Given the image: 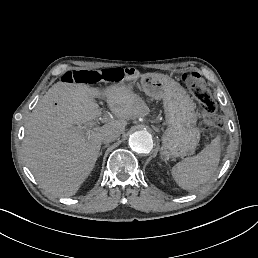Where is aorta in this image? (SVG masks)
<instances>
[{"label": "aorta", "mask_w": 258, "mask_h": 258, "mask_svg": "<svg viewBox=\"0 0 258 258\" xmlns=\"http://www.w3.org/2000/svg\"><path fill=\"white\" fill-rule=\"evenodd\" d=\"M129 146L139 154H148L153 148L152 135L145 130L132 133L129 137Z\"/></svg>", "instance_id": "aorta-1"}]
</instances>
